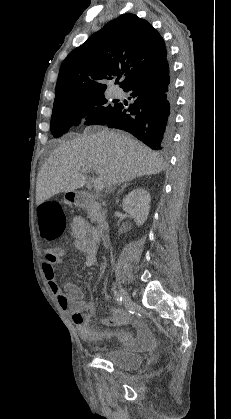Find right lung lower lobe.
Wrapping results in <instances>:
<instances>
[{
    "mask_svg": "<svg viewBox=\"0 0 231 419\" xmlns=\"http://www.w3.org/2000/svg\"><path fill=\"white\" fill-rule=\"evenodd\" d=\"M123 90L130 92L134 103L128 107L119 103L100 125L125 130L151 148L165 150L173 135L175 108V92L167 59L137 77Z\"/></svg>",
    "mask_w": 231,
    "mask_h": 419,
    "instance_id": "1",
    "label": "right lung lower lobe"
}]
</instances>
